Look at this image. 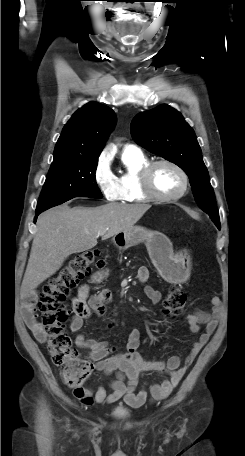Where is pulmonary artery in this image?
Instances as JSON below:
<instances>
[{"label": "pulmonary artery", "instance_id": "obj_1", "mask_svg": "<svg viewBox=\"0 0 245 456\" xmlns=\"http://www.w3.org/2000/svg\"><path fill=\"white\" fill-rule=\"evenodd\" d=\"M123 151L124 152H140V149L135 145L127 144L124 146Z\"/></svg>", "mask_w": 245, "mask_h": 456}]
</instances>
